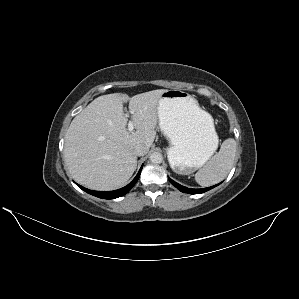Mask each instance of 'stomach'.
<instances>
[{"label": "stomach", "instance_id": "1", "mask_svg": "<svg viewBox=\"0 0 299 299\" xmlns=\"http://www.w3.org/2000/svg\"><path fill=\"white\" fill-rule=\"evenodd\" d=\"M158 116L159 128L170 143L168 160L177 174L193 173L216 151L213 119L188 93L166 90L159 100Z\"/></svg>", "mask_w": 299, "mask_h": 299}]
</instances>
